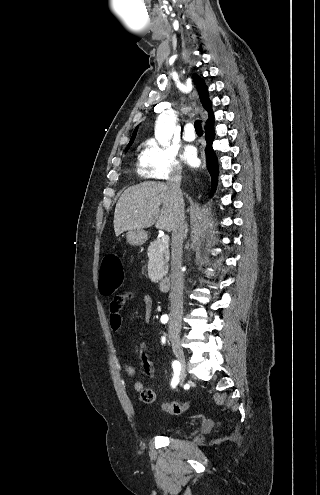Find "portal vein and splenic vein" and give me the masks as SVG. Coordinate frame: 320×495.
Masks as SVG:
<instances>
[{"mask_svg":"<svg viewBox=\"0 0 320 495\" xmlns=\"http://www.w3.org/2000/svg\"><path fill=\"white\" fill-rule=\"evenodd\" d=\"M161 240H162V243L164 245H168V243H169V236L168 235H164Z\"/></svg>","mask_w":320,"mask_h":495,"instance_id":"1","label":"portal vein and splenic vein"}]
</instances>
